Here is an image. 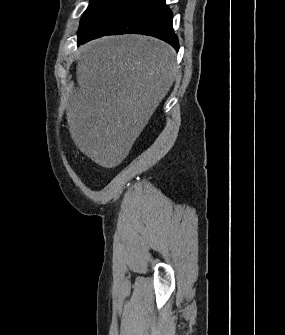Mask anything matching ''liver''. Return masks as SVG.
<instances>
[{"mask_svg":"<svg viewBox=\"0 0 285 335\" xmlns=\"http://www.w3.org/2000/svg\"><path fill=\"white\" fill-rule=\"evenodd\" d=\"M78 94L67 110L71 138L102 168L128 156L168 94L176 58L171 46L148 36H106L78 50Z\"/></svg>","mask_w":285,"mask_h":335,"instance_id":"6515ba94","label":"liver"}]
</instances>
